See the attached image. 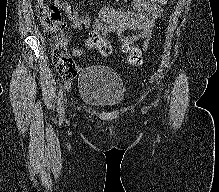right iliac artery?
<instances>
[{
	"label": "right iliac artery",
	"mask_w": 219,
	"mask_h": 192,
	"mask_svg": "<svg viewBox=\"0 0 219 192\" xmlns=\"http://www.w3.org/2000/svg\"><path fill=\"white\" fill-rule=\"evenodd\" d=\"M70 87V83L69 82H65L60 86L59 89V96H58V105H57V111L59 116L61 117L64 113V108H63V94L65 92L66 89H68Z\"/></svg>",
	"instance_id": "82829eb1"
}]
</instances>
